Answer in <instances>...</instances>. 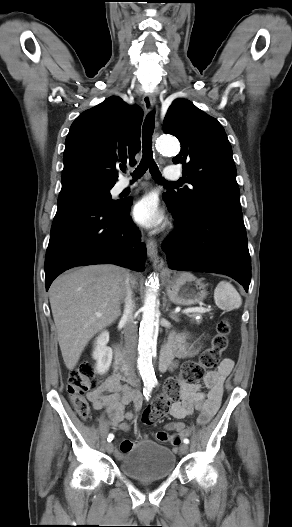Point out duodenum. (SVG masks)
I'll list each match as a JSON object with an SVG mask.
<instances>
[{
  "label": "duodenum",
  "mask_w": 292,
  "mask_h": 527,
  "mask_svg": "<svg viewBox=\"0 0 292 527\" xmlns=\"http://www.w3.org/2000/svg\"><path fill=\"white\" fill-rule=\"evenodd\" d=\"M115 354H114V372L116 375H118L124 382L128 384H134L135 380L131 375L129 366L127 364V361L125 359V356L123 352L118 348L115 347ZM168 366V357L165 353V351L162 352L161 360H160V367L161 369H166Z\"/></svg>",
  "instance_id": "1"
}]
</instances>
